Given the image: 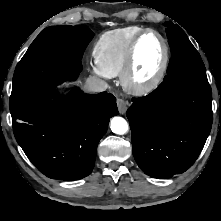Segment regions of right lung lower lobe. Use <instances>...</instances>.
<instances>
[{"mask_svg": "<svg viewBox=\"0 0 221 221\" xmlns=\"http://www.w3.org/2000/svg\"><path fill=\"white\" fill-rule=\"evenodd\" d=\"M69 70L59 83L77 78ZM58 83V84H59ZM54 87L11 111L13 131L28 159L52 179L78 180L88 176L95 164L97 145L107 131L109 119L118 114L116 99L101 92L85 94L75 88L61 107L54 104Z\"/></svg>", "mask_w": 221, "mask_h": 221, "instance_id": "1", "label": "right lung lower lobe"}]
</instances>
